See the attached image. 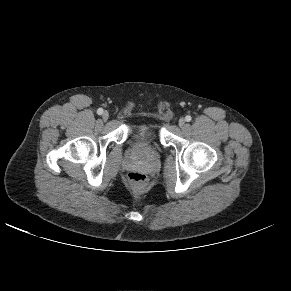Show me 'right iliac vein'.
<instances>
[{"instance_id":"63e3f726","label":"right iliac vein","mask_w":291,"mask_h":291,"mask_svg":"<svg viewBox=\"0 0 291 291\" xmlns=\"http://www.w3.org/2000/svg\"><path fill=\"white\" fill-rule=\"evenodd\" d=\"M102 118H103L104 121H107V120H108V118H109V114H108L107 111L103 112V114H102Z\"/></svg>"}]
</instances>
